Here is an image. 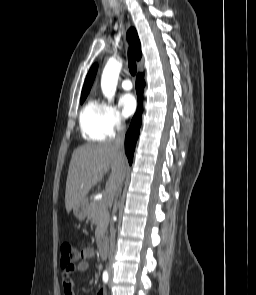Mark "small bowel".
<instances>
[{"instance_id": "c3829d8e", "label": "small bowel", "mask_w": 256, "mask_h": 295, "mask_svg": "<svg viewBox=\"0 0 256 295\" xmlns=\"http://www.w3.org/2000/svg\"><path fill=\"white\" fill-rule=\"evenodd\" d=\"M95 257V250L92 247H85L80 253V260L74 270H63L61 273V280L64 287V295H74L72 272L85 271L89 266V260ZM96 295H107L104 287H99Z\"/></svg>"}]
</instances>
